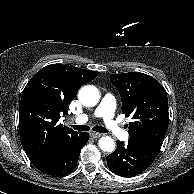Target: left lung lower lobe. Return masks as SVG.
Listing matches in <instances>:
<instances>
[{
    "label": "left lung lower lobe",
    "instance_id": "1",
    "mask_svg": "<svg viewBox=\"0 0 194 194\" xmlns=\"http://www.w3.org/2000/svg\"><path fill=\"white\" fill-rule=\"evenodd\" d=\"M159 151V149L129 138L126 145L124 142L117 141L116 150L107 156V164L116 175L134 177L151 165Z\"/></svg>",
    "mask_w": 194,
    "mask_h": 194
}]
</instances>
